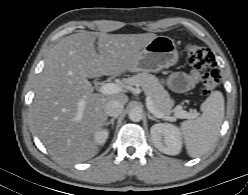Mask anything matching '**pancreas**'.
Wrapping results in <instances>:
<instances>
[{
  "instance_id": "1",
  "label": "pancreas",
  "mask_w": 248,
  "mask_h": 195,
  "mask_svg": "<svg viewBox=\"0 0 248 195\" xmlns=\"http://www.w3.org/2000/svg\"><path fill=\"white\" fill-rule=\"evenodd\" d=\"M123 82L127 86L141 87L146 95L151 97L157 111L163 113L165 116L171 114L174 100L170 98L169 93L164 89L163 85L160 84L155 75L143 72L126 78Z\"/></svg>"
}]
</instances>
